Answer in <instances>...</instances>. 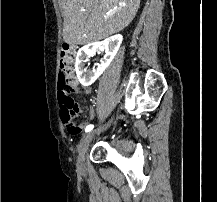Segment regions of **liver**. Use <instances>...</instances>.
<instances>
[{
	"mask_svg": "<svg viewBox=\"0 0 217 202\" xmlns=\"http://www.w3.org/2000/svg\"><path fill=\"white\" fill-rule=\"evenodd\" d=\"M141 0H59L63 10V40L70 46L104 40L127 28Z\"/></svg>",
	"mask_w": 217,
	"mask_h": 202,
	"instance_id": "liver-1",
	"label": "liver"
}]
</instances>
